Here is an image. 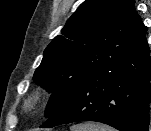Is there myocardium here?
Instances as JSON below:
<instances>
[{"label":"myocardium","mask_w":151,"mask_h":131,"mask_svg":"<svg viewBox=\"0 0 151 131\" xmlns=\"http://www.w3.org/2000/svg\"><path fill=\"white\" fill-rule=\"evenodd\" d=\"M41 100H42V93L40 91H35L24 100V104H23L24 108L29 111L33 110L38 106Z\"/></svg>","instance_id":"myocardium-1"}]
</instances>
